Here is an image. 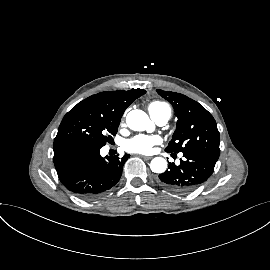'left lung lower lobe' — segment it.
<instances>
[{"label": "left lung lower lobe", "mask_w": 270, "mask_h": 270, "mask_svg": "<svg viewBox=\"0 0 270 270\" xmlns=\"http://www.w3.org/2000/svg\"><path fill=\"white\" fill-rule=\"evenodd\" d=\"M180 165L169 163V168L159 175L162 187L174 193H188L203 184L213 173L218 159L207 155L183 153Z\"/></svg>", "instance_id": "left-lung-lower-lobe-1"}]
</instances>
